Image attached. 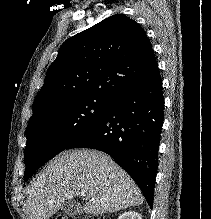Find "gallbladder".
<instances>
[{
	"mask_svg": "<svg viewBox=\"0 0 211 219\" xmlns=\"http://www.w3.org/2000/svg\"><path fill=\"white\" fill-rule=\"evenodd\" d=\"M60 210L67 215H76L82 212L80 205L75 200H66L60 207Z\"/></svg>",
	"mask_w": 211,
	"mask_h": 219,
	"instance_id": "1",
	"label": "gallbladder"
}]
</instances>
